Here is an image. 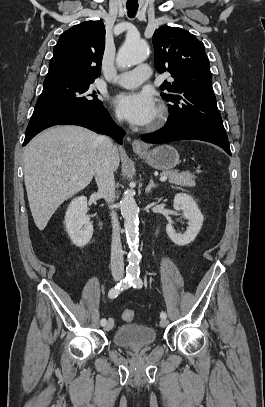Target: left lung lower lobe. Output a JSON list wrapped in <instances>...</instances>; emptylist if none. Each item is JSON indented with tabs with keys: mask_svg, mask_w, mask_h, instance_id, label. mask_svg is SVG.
<instances>
[{
	"mask_svg": "<svg viewBox=\"0 0 265 407\" xmlns=\"http://www.w3.org/2000/svg\"><path fill=\"white\" fill-rule=\"evenodd\" d=\"M184 139H195L213 143L222 147L231 155L227 136H222L193 125L166 126L157 133L142 136V140L147 143H165Z\"/></svg>",
	"mask_w": 265,
	"mask_h": 407,
	"instance_id": "1",
	"label": "left lung lower lobe"
}]
</instances>
